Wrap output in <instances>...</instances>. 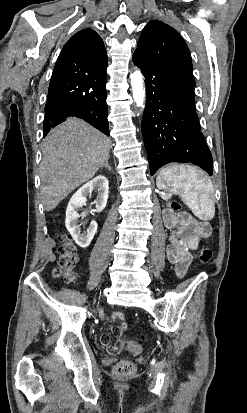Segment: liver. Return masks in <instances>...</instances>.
<instances>
[{
  "mask_svg": "<svg viewBox=\"0 0 247 413\" xmlns=\"http://www.w3.org/2000/svg\"><path fill=\"white\" fill-rule=\"evenodd\" d=\"M109 136L81 118H67L52 128L42 144L41 196L52 211L74 188L90 180L109 158Z\"/></svg>",
  "mask_w": 247,
  "mask_h": 413,
  "instance_id": "obj_1",
  "label": "liver"
}]
</instances>
